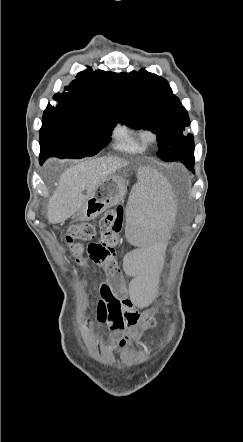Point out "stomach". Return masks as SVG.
Returning a JSON list of instances; mask_svg holds the SVG:
<instances>
[{
	"mask_svg": "<svg viewBox=\"0 0 243 442\" xmlns=\"http://www.w3.org/2000/svg\"><path fill=\"white\" fill-rule=\"evenodd\" d=\"M126 184L122 177L110 175L96 188L92 196L77 211L78 220H92L106 209L120 202L126 194Z\"/></svg>",
	"mask_w": 243,
	"mask_h": 442,
	"instance_id": "stomach-1",
	"label": "stomach"
}]
</instances>
